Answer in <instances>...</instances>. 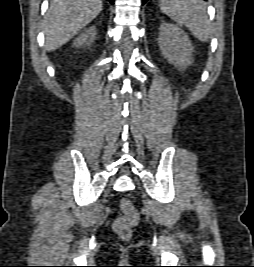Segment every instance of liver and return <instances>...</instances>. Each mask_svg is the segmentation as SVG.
<instances>
[{
  "mask_svg": "<svg viewBox=\"0 0 254 267\" xmlns=\"http://www.w3.org/2000/svg\"><path fill=\"white\" fill-rule=\"evenodd\" d=\"M101 0H51L44 21L45 49L54 51L72 39L102 11Z\"/></svg>",
  "mask_w": 254,
  "mask_h": 267,
  "instance_id": "6515ba94",
  "label": "liver"
}]
</instances>
